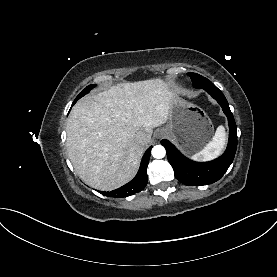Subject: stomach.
Instances as JSON below:
<instances>
[{
	"label": "stomach",
	"mask_w": 277,
	"mask_h": 277,
	"mask_svg": "<svg viewBox=\"0 0 277 277\" xmlns=\"http://www.w3.org/2000/svg\"><path fill=\"white\" fill-rule=\"evenodd\" d=\"M166 136L187 154L202 150L211 140L214 128L206 112L176 96L169 108Z\"/></svg>",
	"instance_id": "1"
}]
</instances>
